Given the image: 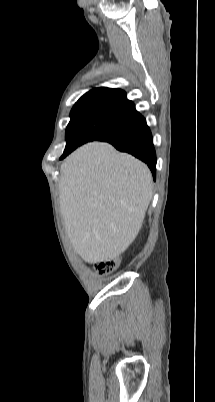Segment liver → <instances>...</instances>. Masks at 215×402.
<instances>
[{
    "label": "liver",
    "mask_w": 215,
    "mask_h": 402,
    "mask_svg": "<svg viewBox=\"0 0 215 402\" xmlns=\"http://www.w3.org/2000/svg\"><path fill=\"white\" fill-rule=\"evenodd\" d=\"M60 212L85 262L116 259L138 235L153 196L147 165L104 142L87 143L61 165Z\"/></svg>",
    "instance_id": "liver-1"
}]
</instances>
